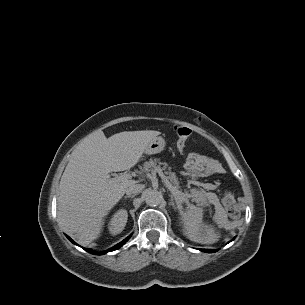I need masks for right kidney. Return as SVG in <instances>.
<instances>
[{"label":"right kidney","mask_w":305,"mask_h":305,"mask_svg":"<svg viewBox=\"0 0 305 305\" xmlns=\"http://www.w3.org/2000/svg\"><path fill=\"white\" fill-rule=\"evenodd\" d=\"M128 213L126 210H118L110 219L108 229L112 235L121 233L126 226Z\"/></svg>","instance_id":"obj_1"}]
</instances>
